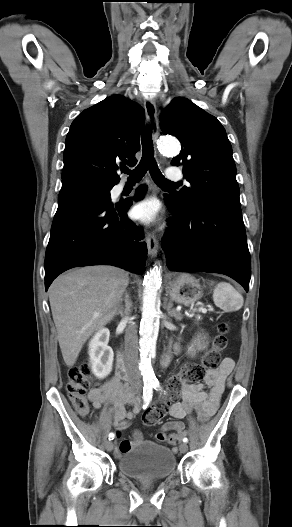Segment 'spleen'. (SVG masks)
I'll use <instances>...</instances> for the list:
<instances>
[{
  "label": "spleen",
  "mask_w": 292,
  "mask_h": 527,
  "mask_svg": "<svg viewBox=\"0 0 292 527\" xmlns=\"http://www.w3.org/2000/svg\"><path fill=\"white\" fill-rule=\"evenodd\" d=\"M216 306L225 311H237L243 306L242 295L229 283H218L213 291Z\"/></svg>",
  "instance_id": "spleen-1"
}]
</instances>
